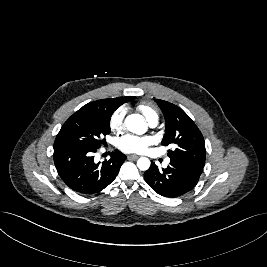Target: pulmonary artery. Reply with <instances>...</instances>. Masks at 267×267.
<instances>
[{
	"label": "pulmonary artery",
	"mask_w": 267,
	"mask_h": 267,
	"mask_svg": "<svg viewBox=\"0 0 267 267\" xmlns=\"http://www.w3.org/2000/svg\"><path fill=\"white\" fill-rule=\"evenodd\" d=\"M157 123H158V120H152L151 122H149L151 127H155L157 125ZM165 163L166 164L169 163V159H166Z\"/></svg>",
	"instance_id": "1"
}]
</instances>
